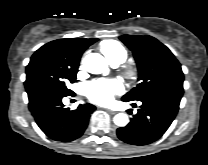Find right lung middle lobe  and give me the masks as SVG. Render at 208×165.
Masks as SVG:
<instances>
[{
	"label": "right lung middle lobe",
	"mask_w": 208,
	"mask_h": 165,
	"mask_svg": "<svg viewBox=\"0 0 208 165\" xmlns=\"http://www.w3.org/2000/svg\"><path fill=\"white\" fill-rule=\"evenodd\" d=\"M80 58V53L51 42L38 49L26 67L29 101L47 93L71 94L67 84L76 81Z\"/></svg>",
	"instance_id": "1"
}]
</instances>
